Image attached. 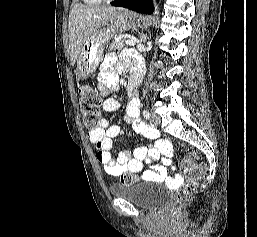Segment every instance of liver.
Instances as JSON below:
<instances>
[{
  "instance_id": "obj_1",
  "label": "liver",
  "mask_w": 257,
  "mask_h": 237,
  "mask_svg": "<svg viewBox=\"0 0 257 237\" xmlns=\"http://www.w3.org/2000/svg\"><path fill=\"white\" fill-rule=\"evenodd\" d=\"M114 7H93L76 4L69 13L68 36L70 62L74 65L87 39L113 17Z\"/></svg>"
}]
</instances>
